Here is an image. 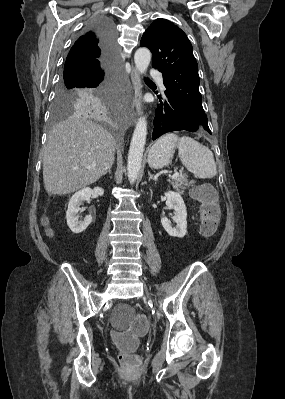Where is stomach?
Returning <instances> with one entry per match:
<instances>
[{
	"label": "stomach",
	"mask_w": 285,
	"mask_h": 399,
	"mask_svg": "<svg viewBox=\"0 0 285 399\" xmlns=\"http://www.w3.org/2000/svg\"><path fill=\"white\" fill-rule=\"evenodd\" d=\"M176 137L167 135L149 151L148 164L152 169H161L171 162L176 147Z\"/></svg>",
	"instance_id": "stomach-1"
}]
</instances>
